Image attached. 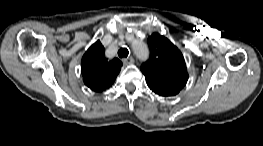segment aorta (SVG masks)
<instances>
[{"mask_svg":"<svg viewBox=\"0 0 263 146\" xmlns=\"http://www.w3.org/2000/svg\"><path fill=\"white\" fill-rule=\"evenodd\" d=\"M132 48L136 57L140 61L143 62L149 58V48L144 42L136 39L132 42Z\"/></svg>","mask_w":263,"mask_h":146,"instance_id":"1","label":"aorta"}]
</instances>
